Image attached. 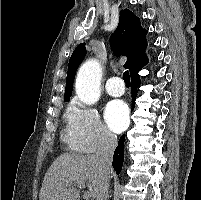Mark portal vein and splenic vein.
Here are the masks:
<instances>
[{
  "label": "portal vein and splenic vein",
  "mask_w": 201,
  "mask_h": 200,
  "mask_svg": "<svg viewBox=\"0 0 201 200\" xmlns=\"http://www.w3.org/2000/svg\"><path fill=\"white\" fill-rule=\"evenodd\" d=\"M78 184V187H80V188H85V183H83V182H79V183H77ZM92 196H91V194L89 193V192H85L84 193V199L85 200H89L90 198H91Z\"/></svg>",
  "instance_id": "obj_1"
}]
</instances>
